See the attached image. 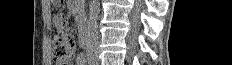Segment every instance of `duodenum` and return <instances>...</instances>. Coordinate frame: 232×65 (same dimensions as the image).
Listing matches in <instances>:
<instances>
[{
  "mask_svg": "<svg viewBox=\"0 0 232 65\" xmlns=\"http://www.w3.org/2000/svg\"><path fill=\"white\" fill-rule=\"evenodd\" d=\"M79 43L82 47L87 46V32L85 29H82L80 32Z\"/></svg>",
  "mask_w": 232,
  "mask_h": 65,
  "instance_id": "410a0bca",
  "label": "duodenum"
}]
</instances>
